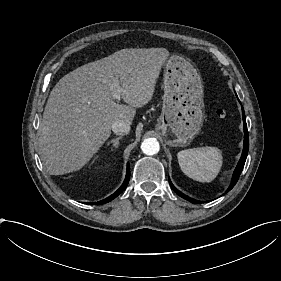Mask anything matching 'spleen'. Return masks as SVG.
Listing matches in <instances>:
<instances>
[{
	"mask_svg": "<svg viewBox=\"0 0 281 281\" xmlns=\"http://www.w3.org/2000/svg\"><path fill=\"white\" fill-rule=\"evenodd\" d=\"M177 159L182 172L202 183L214 181L223 166V151L219 147L207 146L180 151Z\"/></svg>",
	"mask_w": 281,
	"mask_h": 281,
	"instance_id": "obj_1",
	"label": "spleen"
}]
</instances>
